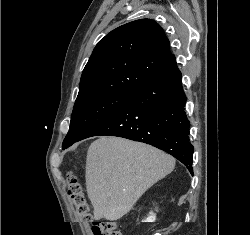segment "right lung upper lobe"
<instances>
[{
  "mask_svg": "<svg viewBox=\"0 0 250 235\" xmlns=\"http://www.w3.org/2000/svg\"><path fill=\"white\" fill-rule=\"evenodd\" d=\"M169 46L163 29L151 19L114 29L93 50L77 99L100 92L133 94L171 64Z\"/></svg>",
  "mask_w": 250,
  "mask_h": 235,
  "instance_id": "1",
  "label": "right lung upper lobe"
}]
</instances>
